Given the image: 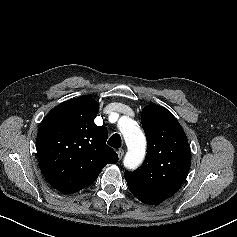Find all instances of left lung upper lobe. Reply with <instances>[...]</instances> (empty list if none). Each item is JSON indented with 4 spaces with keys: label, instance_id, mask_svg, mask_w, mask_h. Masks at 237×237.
Here are the masks:
<instances>
[{
    "label": "left lung upper lobe",
    "instance_id": "5c2ea615",
    "mask_svg": "<svg viewBox=\"0 0 237 237\" xmlns=\"http://www.w3.org/2000/svg\"><path fill=\"white\" fill-rule=\"evenodd\" d=\"M147 138L144 163L125 172L130 192L145 204H159L184 182L191 165L187 137L177 119L164 107L150 104L141 115Z\"/></svg>",
    "mask_w": 237,
    "mask_h": 237
}]
</instances>
